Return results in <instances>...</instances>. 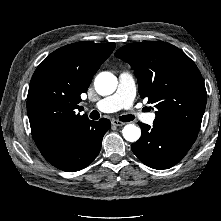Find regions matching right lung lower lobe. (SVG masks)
Instances as JSON below:
<instances>
[{
  "instance_id": "right-lung-lower-lobe-1",
  "label": "right lung lower lobe",
  "mask_w": 221,
  "mask_h": 221,
  "mask_svg": "<svg viewBox=\"0 0 221 221\" xmlns=\"http://www.w3.org/2000/svg\"><path fill=\"white\" fill-rule=\"evenodd\" d=\"M110 121H87L71 133L60 136L39 148L53 166L67 172L81 170L97 157L102 138L110 128Z\"/></svg>"
}]
</instances>
